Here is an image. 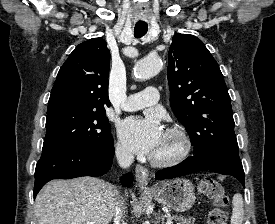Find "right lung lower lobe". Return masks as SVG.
Instances as JSON below:
<instances>
[{"mask_svg": "<svg viewBox=\"0 0 275 224\" xmlns=\"http://www.w3.org/2000/svg\"><path fill=\"white\" fill-rule=\"evenodd\" d=\"M113 144L111 138L99 145L43 149L35 169L34 198L50 180L81 176L97 177L106 173L111 167L114 156ZM132 181L131 173L122 178L123 186H129Z\"/></svg>", "mask_w": 275, "mask_h": 224, "instance_id": "98d812e1", "label": "right lung lower lobe"}]
</instances>
